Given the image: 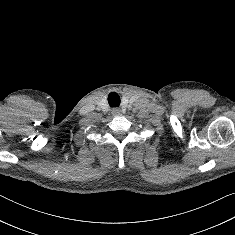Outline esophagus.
Instances as JSON below:
<instances>
[{
    "mask_svg": "<svg viewBox=\"0 0 235 235\" xmlns=\"http://www.w3.org/2000/svg\"><path fill=\"white\" fill-rule=\"evenodd\" d=\"M120 113H121V111H120L119 108H113L112 109V115L113 116L119 115Z\"/></svg>",
    "mask_w": 235,
    "mask_h": 235,
    "instance_id": "34e87169",
    "label": "esophagus"
}]
</instances>
